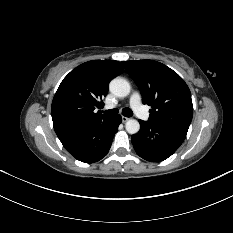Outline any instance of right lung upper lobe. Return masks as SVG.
<instances>
[{"mask_svg": "<svg viewBox=\"0 0 233 233\" xmlns=\"http://www.w3.org/2000/svg\"><path fill=\"white\" fill-rule=\"evenodd\" d=\"M122 71L121 64L115 60L88 61L72 70L59 85L52 101L56 134L107 118L95 109L101 106L110 80Z\"/></svg>", "mask_w": 233, "mask_h": 233, "instance_id": "right-lung-upper-lobe-1", "label": "right lung upper lobe"}]
</instances>
